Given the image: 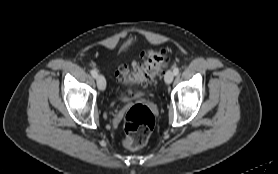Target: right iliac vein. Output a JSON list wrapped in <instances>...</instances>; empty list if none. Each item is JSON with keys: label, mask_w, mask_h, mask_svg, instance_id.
Returning a JSON list of instances; mask_svg holds the SVG:
<instances>
[{"label": "right iliac vein", "mask_w": 278, "mask_h": 174, "mask_svg": "<svg viewBox=\"0 0 278 174\" xmlns=\"http://www.w3.org/2000/svg\"><path fill=\"white\" fill-rule=\"evenodd\" d=\"M98 88L103 91L106 87V80L103 75H98L96 78Z\"/></svg>", "instance_id": "63e3f726"}]
</instances>
